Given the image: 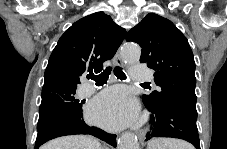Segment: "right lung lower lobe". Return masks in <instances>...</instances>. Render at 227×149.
Segmentation results:
<instances>
[{
  "instance_id": "right-lung-lower-lobe-1",
  "label": "right lung lower lobe",
  "mask_w": 227,
  "mask_h": 149,
  "mask_svg": "<svg viewBox=\"0 0 227 149\" xmlns=\"http://www.w3.org/2000/svg\"><path fill=\"white\" fill-rule=\"evenodd\" d=\"M35 148L56 137L75 134L93 135L116 147V135L109 134L99 128L88 126L82 119V114L62 113L38 121Z\"/></svg>"
}]
</instances>
